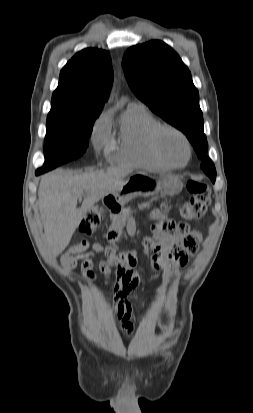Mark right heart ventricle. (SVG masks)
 <instances>
[{"mask_svg":"<svg viewBox=\"0 0 253 413\" xmlns=\"http://www.w3.org/2000/svg\"><path fill=\"white\" fill-rule=\"evenodd\" d=\"M158 124L143 107L131 105L120 115L116 136L109 144V158L118 165L135 168L167 169L152 153L149 133Z\"/></svg>","mask_w":253,"mask_h":413,"instance_id":"e07e8e85","label":"right heart ventricle"}]
</instances>
